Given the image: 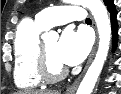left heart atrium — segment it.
<instances>
[{
  "instance_id": "left-heart-atrium-1",
  "label": "left heart atrium",
  "mask_w": 121,
  "mask_h": 94,
  "mask_svg": "<svg viewBox=\"0 0 121 94\" xmlns=\"http://www.w3.org/2000/svg\"><path fill=\"white\" fill-rule=\"evenodd\" d=\"M89 51V41L82 32L67 29L57 43L56 55L59 61L66 66L80 64Z\"/></svg>"
}]
</instances>
